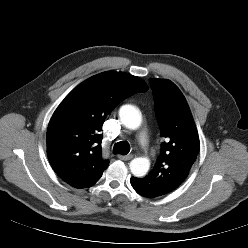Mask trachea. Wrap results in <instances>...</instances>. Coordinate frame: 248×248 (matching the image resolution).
Instances as JSON below:
<instances>
[{
	"label": "trachea",
	"mask_w": 248,
	"mask_h": 248,
	"mask_svg": "<svg viewBox=\"0 0 248 248\" xmlns=\"http://www.w3.org/2000/svg\"><path fill=\"white\" fill-rule=\"evenodd\" d=\"M114 154L127 155L130 151V145L126 141L117 142L114 145Z\"/></svg>",
	"instance_id": "1"
}]
</instances>
